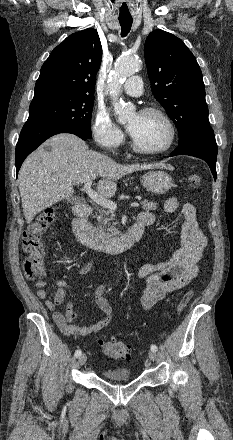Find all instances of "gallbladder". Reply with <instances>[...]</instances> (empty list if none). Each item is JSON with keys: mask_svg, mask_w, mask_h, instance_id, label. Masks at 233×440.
I'll list each match as a JSON object with an SVG mask.
<instances>
[{"mask_svg": "<svg viewBox=\"0 0 233 440\" xmlns=\"http://www.w3.org/2000/svg\"><path fill=\"white\" fill-rule=\"evenodd\" d=\"M77 197H75V196H71V197H68L67 198V202H69V203H71V204H74V203H76L77 202Z\"/></svg>", "mask_w": 233, "mask_h": 440, "instance_id": "obj_1", "label": "gallbladder"}]
</instances>
